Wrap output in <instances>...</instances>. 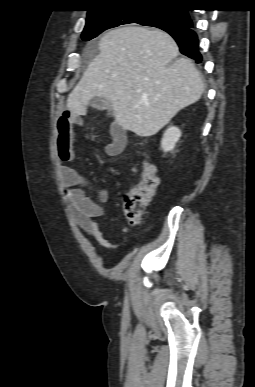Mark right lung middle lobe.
Instances as JSON below:
<instances>
[{"mask_svg": "<svg viewBox=\"0 0 255 387\" xmlns=\"http://www.w3.org/2000/svg\"><path fill=\"white\" fill-rule=\"evenodd\" d=\"M129 23H139L157 28H177L186 26L188 20L182 16L180 9L174 8H115L87 16L82 39L84 41L91 40L109 28Z\"/></svg>", "mask_w": 255, "mask_h": 387, "instance_id": "1", "label": "right lung middle lobe"}]
</instances>
